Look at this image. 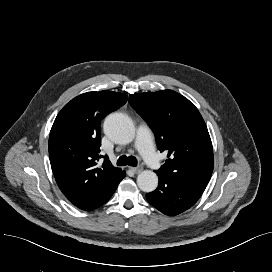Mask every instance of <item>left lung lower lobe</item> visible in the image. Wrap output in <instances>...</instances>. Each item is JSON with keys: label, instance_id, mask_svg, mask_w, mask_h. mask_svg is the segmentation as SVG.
Here are the masks:
<instances>
[{"label": "left lung lower lobe", "instance_id": "left-lung-lower-lobe-1", "mask_svg": "<svg viewBox=\"0 0 272 272\" xmlns=\"http://www.w3.org/2000/svg\"><path fill=\"white\" fill-rule=\"evenodd\" d=\"M159 184L155 191L146 194L147 201L162 213L175 216L192 207L206 185L174 176L157 174Z\"/></svg>", "mask_w": 272, "mask_h": 272}]
</instances>
